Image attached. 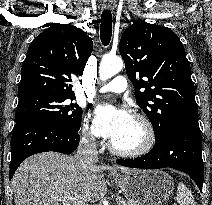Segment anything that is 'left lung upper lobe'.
Segmentation results:
<instances>
[{
	"label": "left lung upper lobe",
	"instance_id": "5c2ea615",
	"mask_svg": "<svg viewBox=\"0 0 212 205\" xmlns=\"http://www.w3.org/2000/svg\"><path fill=\"white\" fill-rule=\"evenodd\" d=\"M119 50L129 80L138 89L136 102L150 119L156 140L162 139L180 116L198 112L190 64L171 29L136 22L124 31ZM141 88L145 90L139 91Z\"/></svg>",
	"mask_w": 212,
	"mask_h": 205
}]
</instances>
